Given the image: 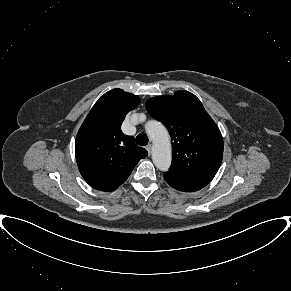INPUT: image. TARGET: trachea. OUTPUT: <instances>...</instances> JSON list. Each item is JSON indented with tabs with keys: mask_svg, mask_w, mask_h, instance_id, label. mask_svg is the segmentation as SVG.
Masks as SVG:
<instances>
[{
	"mask_svg": "<svg viewBox=\"0 0 291 291\" xmlns=\"http://www.w3.org/2000/svg\"><path fill=\"white\" fill-rule=\"evenodd\" d=\"M136 143L140 146H145L148 144V137L145 133H140L136 137Z\"/></svg>",
	"mask_w": 291,
	"mask_h": 291,
	"instance_id": "1",
	"label": "trachea"
}]
</instances>
